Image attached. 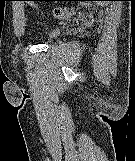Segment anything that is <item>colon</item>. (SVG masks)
I'll use <instances>...</instances> for the list:
<instances>
[{"label":"colon","instance_id":"colon-1","mask_svg":"<svg viewBox=\"0 0 135 161\" xmlns=\"http://www.w3.org/2000/svg\"><path fill=\"white\" fill-rule=\"evenodd\" d=\"M20 1H27L29 5L33 6L34 0H20ZM75 13L73 8H56L52 11V16L57 19H68L72 17Z\"/></svg>","mask_w":135,"mask_h":161}]
</instances>
